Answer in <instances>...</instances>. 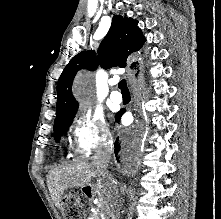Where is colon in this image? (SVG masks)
Wrapping results in <instances>:
<instances>
[{"label": "colon", "mask_w": 221, "mask_h": 219, "mask_svg": "<svg viewBox=\"0 0 221 219\" xmlns=\"http://www.w3.org/2000/svg\"><path fill=\"white\" fill-rule=\"evenodd\" d=\"M68 219H79L81 217V207L77 198L73 195H68L64 199Z\"/></svg>", "instance_id": "5ec220e1"}]
</instances>
